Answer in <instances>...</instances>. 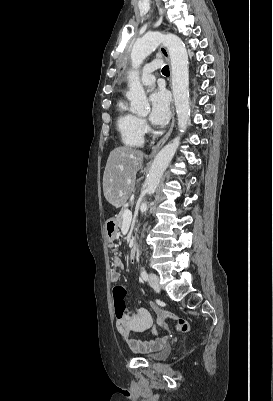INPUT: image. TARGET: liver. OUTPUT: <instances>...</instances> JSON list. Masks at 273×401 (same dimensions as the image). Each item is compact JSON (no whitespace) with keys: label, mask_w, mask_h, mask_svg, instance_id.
Masks as SVG:
<instances>
[{"label":"liver","mask_w":273,"mask_h":401,"mask_svg":"<svg viewBox=\"0 0 273 401\" xmlns=\"http://www.w3.org/2000/svg\"><path fill=\"white\" fill-rule=\"evenodd\" d=\"M143 156L141 150L129 146H117L111 150L103 174V192L106 201L116 209L125 205L133 192Z\"/></svg>","instance_id":"6515ba94"}]
</instances>
